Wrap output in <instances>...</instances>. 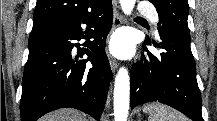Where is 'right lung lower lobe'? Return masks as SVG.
<instances>
[{
    "label": "right lung lower lobe",
    "mask_w": 217,
    "mask_h": 121,
    "mask_svg": "<svg viewBox=\"0 0 217 121\" xmlns=\"http://www.w3.org/2000/svg\"><path fill=\"white\" fill-rule=\"evenodd\" d=\"M112 22L111 0H102L75 18L32 29L22 81L21 121H36L64 107L100 119L112 78L105 53ZM81 39L87 40L74 43ZM83 55L88 57L81 59Z\"/></svg>",
    "instance_id": "right-lung-lower-lobe-1"
}]
</instances>
